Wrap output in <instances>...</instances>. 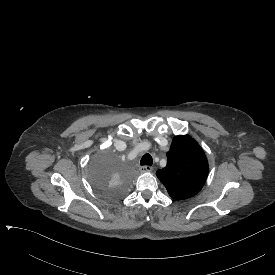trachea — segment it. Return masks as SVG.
Returning <instances> with one entry per match:
<instances>
[{"mask_svg": "<svg viewBox=\"0 0 275 275\" xmlns=\"http://www.w3.org/2000/svg\"><path fill=\"white\" fill-rule=\"evenodd\" d=\"M141 166L148 165L151 166L153 164V159L149 153H145L140 161Z\"/></svg>", "mask_w": 275, "mask_h": 275, "instance_id": "3493384b", "label": "trachea"}]
</instances>
